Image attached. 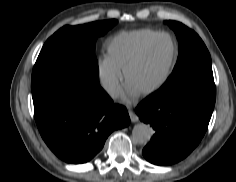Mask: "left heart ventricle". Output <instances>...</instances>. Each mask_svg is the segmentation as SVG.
<instances>
[{
    "label": "left heart ventricle",
    "mask_w": 236,
    "mask_h": 182,
    "mask_svg": "<svg viewBox=\"0 0 236 182\" xmlns=\"http://www.w3.org/2000/svg\"><path fill=\"white\" fill-rule=\"evenodd\" d=\"M170 47L168 38L158 41L146 60L133 69L131 82L138 87H146L158 81L168 67Z\"/></svg>",
    "instance_id": "b2bd125f"
}]
</instances>
